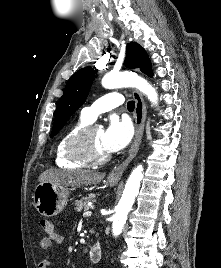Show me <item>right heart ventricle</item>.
<instances>
[{"label":"right heart ventricle","mask_w":221,"mask_h":268,"mask_svg":"<svg viewBox=\"0 0 221 268\" xmlns=\"http://www.w3.org/2000/svg\"><path fill=\"white\" fill-rule=\"evenodd\" d=\"M91 122L84 117L68 128L59 138L55 147V162L59 167L77 169L87 167L88 164L73 159L68 152V144L70 139L82 128L88 126Z\"/></svg>","instance_id":"1"}]
</instances>
